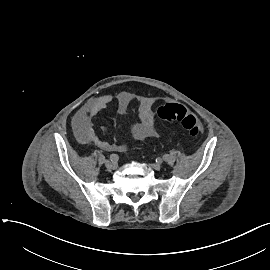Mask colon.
<instances>
[{"label":"colon","instance_id":"1","mask_svg":"<svg viewBox=\"0 0 270 270\" xmlns=\"http://www.w3.org/2000/svg\"><path fill=\"white\" fill-rule=\"evenodd\" d=\"M158 117L167 123H177L188 134L197 139L202 133V125L196 115L181 103H168L157 110Z\"/></svg>","mask_w":270,"mask_h":270}]
</instances>
